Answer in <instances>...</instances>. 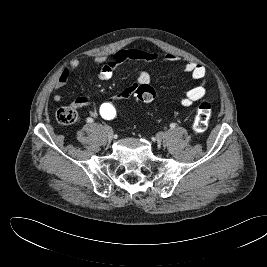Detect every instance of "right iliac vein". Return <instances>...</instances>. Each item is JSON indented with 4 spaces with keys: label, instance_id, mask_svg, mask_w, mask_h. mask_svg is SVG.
<instances>
[{
    "label": "right iliac vein",
    "instance_id": "63e3f726",
    "mask_svg": "<svg viewBox=\"0 0 267 267\" xmlns=\"http://www.w3.org/2000/svg\"><path fill=\"white\" fill-rule=\"evenodd\" d=\"M104 131L107 134L108 140L109 141L112 140V138H113V130H112V128L110 126L106 125V126H104Z\"/></svg>",
    "mask_w": 267,
    "mask_h": 267
}]
</instances>
